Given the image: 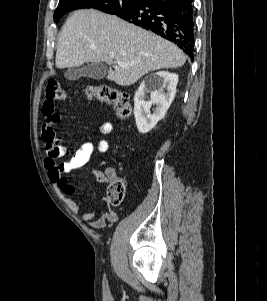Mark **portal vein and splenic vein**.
Masks as SVG:
<instances>
[{
  "label": "portal vein and splenic vein",
  "instance_id": "18ae733b",
  "mask_svg": "<svg viewBox=\"0 0 267 301\" xmlns=\"http://www.w3.org/2000/svg\"><path fill=\"white\" fill-rule=\"evenodd\" d=\"M109 55H110L111 58L115 57L114 53H110ZM118 65H120L121 67H128L129 66V65L124 64L123 62H120V61H118Z\"/></svg>",
  "mask_w": 267,
  "mask_h": 301
}]
</instances>
